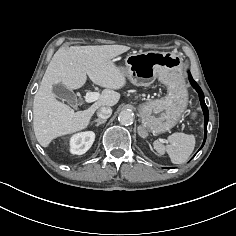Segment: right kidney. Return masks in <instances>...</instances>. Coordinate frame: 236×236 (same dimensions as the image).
Segmentation results:
<instances>
[{"mask_svg":"<svg viewBox=\"0 0 236 236\" xmlns=\"http://www.w3.org/2000/svg\"><path fill=\"white\" fill-rule=\"evenodd\" d=\"M95 139V134L91 131L81 132L70 138V152L82 155L89 150Z\"/></svg>","mask_w":236,"mask_h":236,"instance_id":"obj_1","label":"right kidney"}]
</instances>
